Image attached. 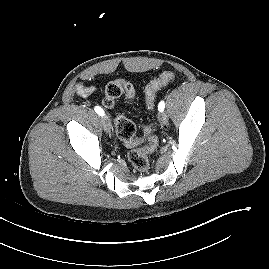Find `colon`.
<instances>
[{"label": "colon", "mask_w": 269, "mask_h": 269, "mask_svg": "<svg viewBox=\"0 0 269 269\" xmlns=\"http://www.w3.org/2000/svg\"><path fill=\"white\" fill-rule=\"evenodd\" d=\"M175 78V74L171 71L162 72L159 77L153 79L145 88V102L149 111H153L155 98L158 90L171 82ZM124 95L126 102L132 104L136 96L134 86L124 80H116L107 84L103 104L106 107H112L115 101ZM116 133L124 144L131 150L128 153V159L132 166L139 172H147L150 169V153L157 145V139L152 136L156 130L155 123H151L143 127V132L148 136L147 141L142 145V140L135 137L136 126L130 119L124 116H117L115 120Z\"/></svg>", "instance_id": "colon-1"}]
</instances>
